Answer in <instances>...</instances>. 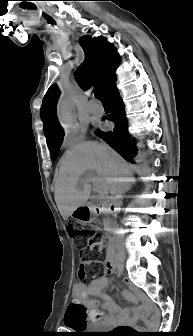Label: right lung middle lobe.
Instances as JSON below:
<instances>
[{"mask_svg": "<svg viewBox=\"0 0 193 336\" xmlns=\"http://www.w3.org/2000/svg\"><path fill=\"white\" fill-rule=\"evenodd\" d=\"M62 140H63V134H60V135H58L57 137H55L54 139H52L51 141H49L47 143L48 148L51 152L52 161H54L56 159L57 155H58Z\"/></svg>", "mask_w": 193, "mask_h": 336, "instance_id": "dd1d6c3e", "label": "right lung middle lobe"}]
</instances>
